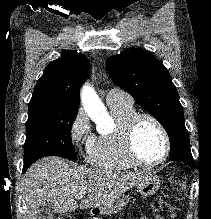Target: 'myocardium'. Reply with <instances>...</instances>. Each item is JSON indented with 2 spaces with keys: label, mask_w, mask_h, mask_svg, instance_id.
<instances>
[{
  "label": "myocardium",
  "mask_w": 211,
  "mask_h": 219,
  "mask_svg": "<svg viewBox=\"0 0 211 219\" xmlns=\"http://www.w3.org/2000/svg\"><path fill=\"white\" fill-rule=\"evenodd\" d=\"M143 119L152 121L160 130L164 139V153L163 156L156 162H145L141 160L136 152L135 148V131L139 122ZM122 144L125 155L136 166L142 168H156L163 165L169 158L171 152V141L162 122L154 115L150 113H135L125 123L122 133Z\"/></svg>",
  "instance_id": "1"
}]
</instances>
